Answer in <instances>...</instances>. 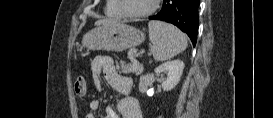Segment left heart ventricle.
<instances>
[{"label": "left heart ventricle", "mask_w": 273, "mask_h": 118, "mask_svg": "<svg viewBox=\"0 0 273 118\" xmlns=\"http://www.w3.org/2000/svg\"><path fill=\"white\" fill-rule=\"evenodd\" d=\"M126 9L132 13H139L148 10L153 0H124Z\"/></svg>", "instance_id": "obj_1"}]
</instances>
